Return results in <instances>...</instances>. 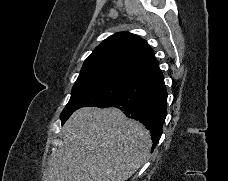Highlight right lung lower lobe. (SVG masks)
Wrapping results in <instances>:
<instances>
[{"label":"right lung lower lobe","mask_w":228,"mask_h":181,"mask_svg":"<svg viewBox=\"0 0 228 181\" xmlns=\"http://www.w3.org/2000/svg\"><path fill=\"white\" fill-rule=\"evenodd\" d=\"M97 107H116L143 123L152 136L153 151L167 115V91L159 66L133 78L116 96Z\"/></svg>","instance_id":"98d812e1"}]
</instances>
